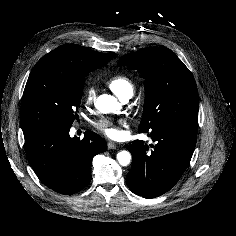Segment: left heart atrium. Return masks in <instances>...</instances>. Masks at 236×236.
<instances>
[{
	"instance_id": "39dd6f15",
	"label": "left heart atrium",
	"mask_w": 236,
	"mask_h": 236,
	"mask_svg": "<svg viewBox=\"0 0 236 236\" xmlns=\"http://www.w3.org/2000/svg\"><path fill=\"white\" fill-rule=\"evenodd\" d=\"M121 123V121L116 123L110 119H101L96 123V127L108 137L117 138L121 133L118 127Z\"/></svg>"
}]
</instances>
